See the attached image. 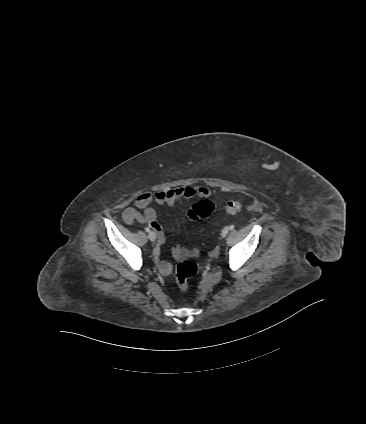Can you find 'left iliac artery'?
I'll return each mask as SVG.
<instances>
[{
	"instance_id": "obj_1",
	"label": "left iliac artery",
	"mask_w": 366,
	"mask_h": 424,
	"mask_svg": "<svg viewBox=\"0 0 366 424\" xmlns=\"http://www.w3.org/2000/svg\"><path fill=\"white\" fill-rule=\"evenodd\" d=\"M228 228H229V230H233L234 229V225H230Z\"/></svg>"
}]
</instances>
